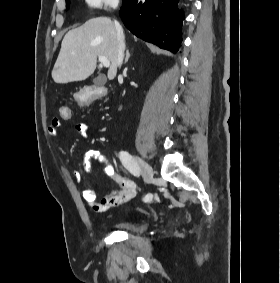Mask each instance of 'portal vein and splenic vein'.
Returning <instances> with one entry per match:
<instances>
[{
	"label": "portal vein and splenic vein",
	"instance_id": "obj_1",
	"mask_svg": "<svg viewBox=\"0 0 280 283\" xmlns=\"http://www.w3.org/2000/svg\"><path fill=\"white\" fill-rule=\"evenodd\" d=\"M100 63L104 66V67H109L110 66V61L107 59V57L100 55L98 57Z\"/></svg>",
	"mask_w": 280,
	"mask_h": 283
}]
</instances>
